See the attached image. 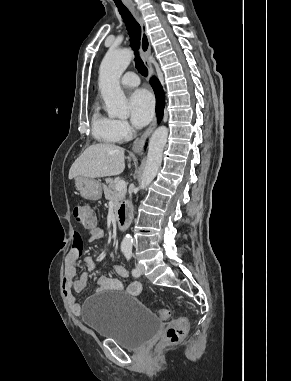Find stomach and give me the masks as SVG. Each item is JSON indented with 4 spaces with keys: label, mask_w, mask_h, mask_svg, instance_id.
I'll use <instances>...</instances> for the list:
<instances>
[{
    "label": "stomach",
    "mask_w": 291,
    "mask_h": 381,
    "mask_svg": "<svg viewBox=\"0 0 291 381\" xmlns=\"http://www.w3.org/2000/svg\"><path fill=\"white\" fill-rule=\"evenodd\" d=\"M75 184L76 188L85 199L99 200L102 197L101 184L95 179L77 176L75 177Z\"/></svg>",
    "instance_id": "stomach-1"
}]
</instances>
